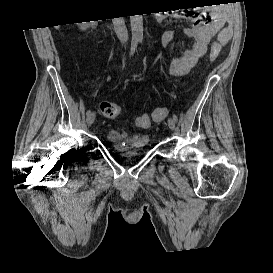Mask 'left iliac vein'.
<instances>
[{
  "instance_id": "1",
  "label": "left iliac vein",
  "mask_w": 273,
  "mask_h": 273,
  "mask_svg": "<svg viewBox=\"0 0 273 273\" xmlns=\"http://www.w3.org/2000/svg\"><path fill=\"white\" fill-rule=\"evenodd\" d=\"M168 126L171 130H174L175 128V120L173 118L168 119Z\"/></svg>"
}]
</instances>
